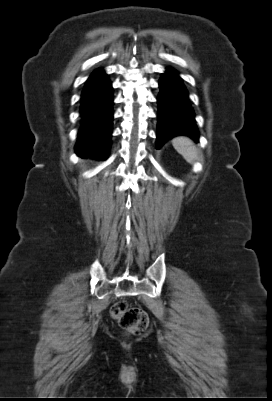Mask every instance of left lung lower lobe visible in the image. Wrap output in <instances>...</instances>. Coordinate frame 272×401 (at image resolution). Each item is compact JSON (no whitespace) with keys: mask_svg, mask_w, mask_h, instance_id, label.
<instances>
[{"mask_svg":"<svg viewBox=\"0 0 272 401\" xmlns=\"http://www.w3.org/2000/svg\"><path fill=\"white\" fill-rule=\"evenodd\" d=\"M157 148L177 135H187L198 141L194 111L182 79L173 69H168L159 82Z\"/></svg>","mask_w":272,"mask_h":401,"instance_id":"left-lung-lower-lobe-1","label":"left lung lower lobe"}]
</instances>
